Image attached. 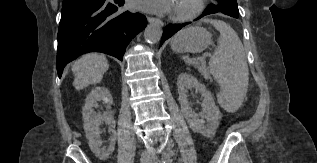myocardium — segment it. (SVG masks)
I'll list each match as a JSON object with an SVG mask.
<instances>
[{
  "instance_id": "myocardium-1",
  "label": "myocardium",
  "mask_w": 317,
  "mask_h": 163,
  "mask_svg": "<svg viewBox=\"0 0 317 163\" xmlns=\"http://www.w3.org/2000/svg\"><path fill=\"white\" fill-rule=\"evenodd\" d=\"M206 0H191L187 9L173 11L171 19L176 22H185L200 15L205 9Z\"/></svg>"
}]
</instances>
